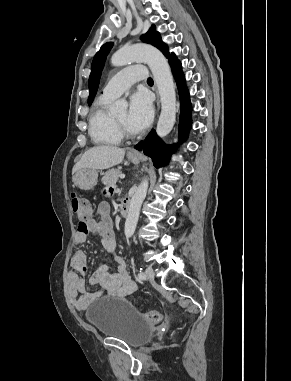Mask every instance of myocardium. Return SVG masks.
<instances>
[{"instance_id": "obj_1", "label": "myocardium", "mask_w": 291, "mask_h": 381, "mask_svg": "<svg viewBox=\"0 0 291 381\" xmlns=\"http://www.w3.org/2000/svg\"><path fill=\"white\" fill-rule=\"evenodd\" d=\"M113 121H114V125L118 131V133L122 136V137H135V133L129 131L123 124H121L117 119L116 117H113Z\"/></svg>"}]
</instances>
